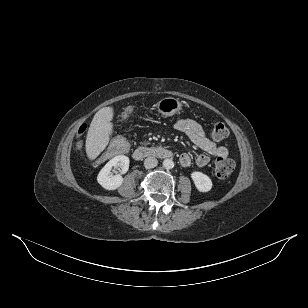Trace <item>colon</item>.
Wrapping results in <instances>:
<instances>
[{"label": "colon", "mask_w": 308, "mask_h": 308, "mask_svg": "<svg viewBox=\"0 0 308 308\" xmlns=\"http://www.w3.org/2000/svg\"><path fill=\"white\" fill-rule=\"evenodd\" d=\"M133 112V108L129 107L121 116V120L128 118ZM86 130V125H82L79 128V135H82ZM229 136L228 128L221 122L214 123L211 130V137L216 141L225 140ZM109 140L112 142L110 148L105 151V155L98 158L94 161V164L102 163L103 165H108L114 158L119 157L120 155H127L130 152V146L128 141L124 139L121 134L117 136L112 134L109 137ZM81 147V142H80ZM235 169V162L227 157H218L215 160L213 172L218 178L228 177Z\"/></svg>", "instance_id": "colon-1"}]
</instances>
